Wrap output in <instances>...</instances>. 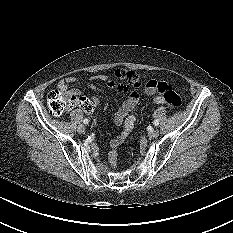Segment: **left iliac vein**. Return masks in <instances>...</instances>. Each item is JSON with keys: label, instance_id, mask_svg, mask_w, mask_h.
<instances>
[{"label": "left iliac vein", "instance_id": "obj_1", "mask_svg": "<svg viewBox=\"0 0 233 233\" xmlns=\"http://www.w3.org/2000/svg\"><path fill=\"white\" fill-rule=\"evenodd\" d=\"M159 135V130L158 129H153L148 133V136L150 138H157Z\"/></svg>", "mask_w": 233, "mask_h": 233}]
</instances>
